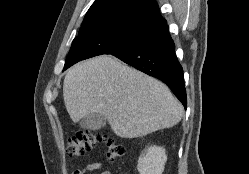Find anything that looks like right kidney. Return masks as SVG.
<instances>
[{"label":"right kidney","mask_w":249,"mask_h":174,"mask_svg":"<svg viewBox=\"0 0 249 174\" xmlns=\"http://www.w3.org/2000/svg\"><path fill=\"white\" fill-rule=\"evenodd\" d=\"M167 161L165 149L159 146L149 147L138 159L139 174H162Z\"/></svg>","instance_id":"1"}]
</instances>
